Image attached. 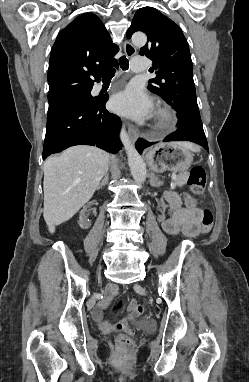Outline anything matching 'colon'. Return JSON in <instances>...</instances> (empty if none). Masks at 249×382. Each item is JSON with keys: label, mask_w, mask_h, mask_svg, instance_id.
<instances>
[{"label": "colon", "mask_w": 249, "mask_h": 382, "mask_svg": "<svg viewBox=\"0 0 249 382\" xmlns=\"http://www.w3.org/2000/svg\"><path fill=\"white\" fill-rule=\"evenodd\" d=\"M188 185L191 188V194L185 195V205L187 208H195L197 205L196 196L201 195L205 189L206 186V172L205 169L201 166H194L188 177ZM213 214L211 210L204 209L202 214V232L207 233L210 231L212 225H213ZM122 308V300L118 299L116 300L112 306L111 311L113 313H117ZM132 313L135 316H143L145 314V309L141 305H135L132 308ZM103 328H107L108 324L103 323ZM117 343L121 347V349L124 350H130L132 348V340L131 338L126 334H119L116 338Z\"/></svg>", "instance_id": "colon-1"}]
</instances>
